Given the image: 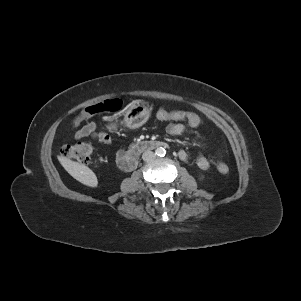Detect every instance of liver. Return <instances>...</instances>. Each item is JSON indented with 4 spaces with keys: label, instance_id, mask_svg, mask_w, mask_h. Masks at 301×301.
Here are the masks:
<instances>
[{
    "label": "liver",
    "instance_id": "obj_1",
    "mask_svg": "<svg viewBox=\"0 0 301 301\" xmlns=\"http://www.w3.org/2000/svg\"><path fill=\"white\" fill-rule=\"evenodd\" d=\"M58 160L64 169L76 180L89 187H96L98 184L95 173L78 162H74L66 157L58 156Z\"/></svg>",
    "mask_w": 301,
    "mask_h": 301
}]
</instances>
